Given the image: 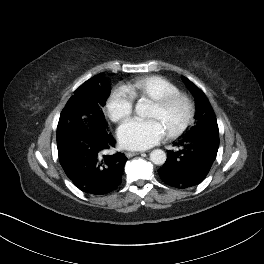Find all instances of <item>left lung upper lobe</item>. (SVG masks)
Segmentation results:
<instances>
[{
  "instance_id": "obj_1",
  "label": "left lung upper lobe",
  "mask_w": 264,
  "mask_h": 264,
  "mask_svg": "<svg viewBox=\"0 0 264 264\" xmlns=\"http://www.w3.org/2000/svg\"><path fill=\"white\" fill-rule=\"evenodd\" d=\"M183 80L187 88L193 94L196 104V123L187 135H192L194 133L203 131L219 133L214 111L205 94L186 77H184Z\"/></svg>"
}]
</instances>
